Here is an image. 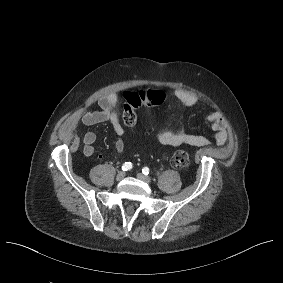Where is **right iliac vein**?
Masks as SVG:
<instances>
[{
  "label": "right iliac vein",
  "instance_id": "right-iliac-vein-1",
  "mask_svg": "<svg viewBox=\"0 0 283 283\" xmlns=\"http://www.w3.org/2000/svg\"><path fill=\"white\" fill-rule=\"evenodd\" d=\"M124 177H125V172H124V171H121V172H119V173L117 174L116 180L121 181V180L124 179Z\"/></svg>",
  "mask_w": 283,
  "mask_h": 283
}]
</instances>
